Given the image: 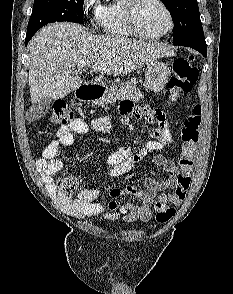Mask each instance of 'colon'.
Returning <instances> with one entry per match:
<instances>
[{
  "mask_svg": "<svg viewBox=\"0 0 233 294\" xmlns=\"http://www.w3.org/2000/svg\"><path fill=\"white\" fill-rule=\"evenodd\" d=\"M198 79V70L193 64V56L178 58L173 63V74L169 81V90L172 99L182 94L189 93ZM74 120L73 112L65 102L55 105L50 116L53 125H68ZM202 124V107L195 104L191 113L185 118L180 131L182 142L181 156L179 159L180 174L178 185L173 194L161 195L154 205L155 218L159 223H166L175 215L174 206L183 203L187 196L194 170L196 148L199 141L200 127ZM78 178L67 176L58 181L59 191L70 197L76 190Z\"/></svg>",
  "mask_w": 233,
  "mask_h": 294,
  "instance_id": "1",
  "label": "colon"
}]
</instances>
